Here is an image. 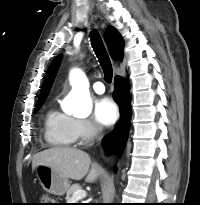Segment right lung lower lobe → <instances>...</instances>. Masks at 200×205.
<instances>
[{
  "mask_svg": "<svg viewBox=\"0 0 200 205\" xmlns=\"http://www.w3.org/2000/svg\"><path fill=\"white\" fill-rule=\"evenodd\" d=\"M113 97L116 103L120 105L122 117L113 132L103 140V145L107 152L116 151L120 155L128 137L131 118L129 89L125 80L120 76L115 77V91Z\"/></svg>",
  "mask_w": 200,
  "mask_h": 205,
  "instance_id": "right-lung-lower-lobe-1",
  "label": "right lung lower lobe"
}]
</instances>
